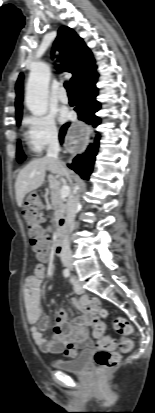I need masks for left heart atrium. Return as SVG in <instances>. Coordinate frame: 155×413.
<instances>
[{
  "mask_svg": "<svg viewBox=\"0 0 155 413\" xmlns=\"http://www.w3.org/2000/svg\"><path fill=\"white\" fill-rule=\"evenodd\" d=\"M69 118V112L67 110H63L60 113V120L65 121Z\"/></svg>",
  "mask_w": 155,
  "mask_h": 413,
  "instance_id": "1",
  "label": "left heart atrium"
}]
</instances>
